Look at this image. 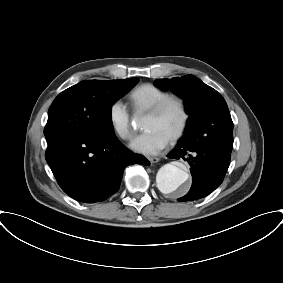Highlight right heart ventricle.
Instances as JSON below:
<instances>
[{"instance_id":"e07e8e85","label":"right heart ventricle","mask_w":283,"mask_h":283,"mask_svg":"<svg viewBox=\"0 0 283 283\" xmlns=\"http://www.w3.org/2000/svg\"><path fill=\"white\" fill-rule=\"evenodd\" d=\"M170 94L154 84H142L131 91L129 101L136 114L147 113L157 102Z\"/></svg>"}]
</instances>
